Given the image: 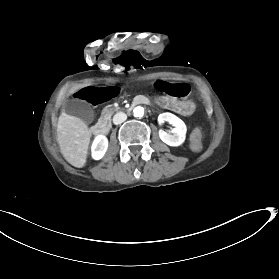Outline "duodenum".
<instances>
[{
	"label": "duodenum",
	"mask_w": 279,
	"mask_h": 279,
	"mask_svg": "<svg viewBox=\"0 0 279 279\" xmlns=\"http://www.w3.org/2000/svg\"><path fill=\"white\" fill-rule=\"evenodd\" d=\"M132 103L134 105L139 104H144V105H149L151 103V100L149 98H145V97H140L137 96L132 100ZM126 112L128 114H131L133 112V109L131 107H128L126 109ZM97 127H100V124H97ZM97 127H92V134L94 136H102L104 133H108V127H103V129L97 128Z\"/></svg>",
	"instance_id": "duodenum-1"
}]
</instances>
